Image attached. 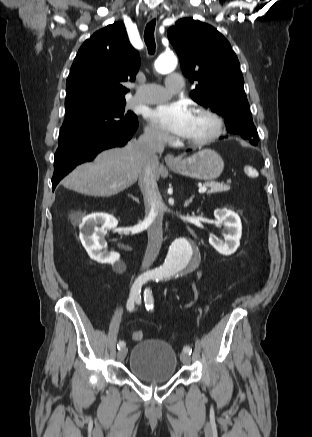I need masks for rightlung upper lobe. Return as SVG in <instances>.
<instances>
[{"mask_svg":"<svg viewBox=\"0 0 312 437\" xmlns=\"http://www.w3.org/2000/svg\"><path fill=\"white\" fill-rule=\"evenodd\" d=\"M139 63L122 23L97 31L80 47L71 66L65 107L125 101L128 89L122 83L134 81Z\"/></svg>","mask_w":312,"mask_h":437,"instance_id":"obj_1","label":"right lung upper lobe"}]
</instances>
